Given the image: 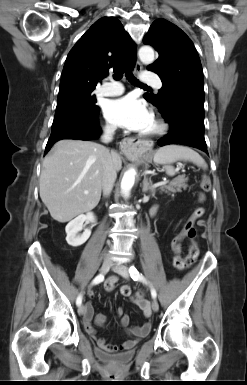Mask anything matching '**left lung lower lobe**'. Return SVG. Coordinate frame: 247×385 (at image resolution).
<instances>
[{"mask_svg":"<svg viewBox=\"0 0 247 385\" xmlns=\"http://www.w3.org/2000/svg\"><path fill=\"white\" fill-rule=\"evenodd\" d=\"M170 125V132L158 140L159 146L182 144L205 152L204 107L182 99H175L167 110L160 111Z\"/></svg>","mask_w":247,"mask_h":385,"instance_id":"left-lung-lower-lobe-1","label":"left lung lower lobe"}]
</instances>
